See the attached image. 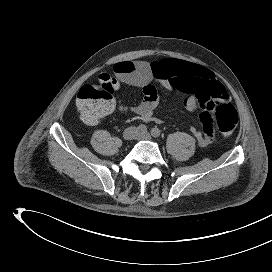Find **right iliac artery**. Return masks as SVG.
Wrapping results in <instances>:
<instances>
[{"label": "right iliac artery", "instance_id": "right-iliac-artery-1", "mask_svg": "<svg viewBox=\"0 0 272 272\" xmlns=\"http://www.w3.org/2000/svg\"><path fill=\"white\" fill-rule=\"evenodd\" d=\"M137 131H138V132H141V133H145V132H147V127H146L144 124H140V125L137 127Z\"/></svg>", "mask_w": 272, "mask_h": 272}]
</instances>
